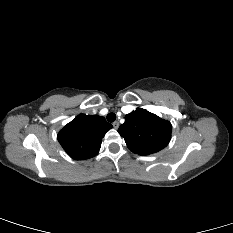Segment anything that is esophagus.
Instances as JSON below:
<instances>
[{"label":"esophagus","instance_id":"obj_1","mask_svg":"<svg viewBox=\"0 0 233 233\" xmlns=\"http://www.w3.org/2000/svg\"><path fill=\"white\" fill-rule=\"evenodd\" d=\"M113 127H114L115 129H118V127H119V122H118V121L113 122Z\"/></svg>","mask_w":233,"mask_h":233}]
</instances>
